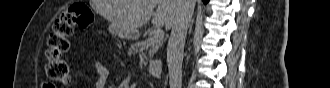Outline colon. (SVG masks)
I'll use <instances>...</instances> for the list:
<instances>
[{"label":"colon","instance_id":"colon-1","mask_svg":"<svg viewBox=\"0 0 330 88\" xmlns=\"http://www.w3.org/2000/svg\"><path fill=\"white\" fill-rule=\"evenodd\" d=\"M93 12L84 2H75L65 9L54 23L48 37L46 75L49 79L66 84L71 79L70 65L63 55L69 49L68 37L76 27L87 29L93 23ZM53 86H47L50 88Z\"/></svg>","mask_w":330,"mask_h":88}]
</instances>
